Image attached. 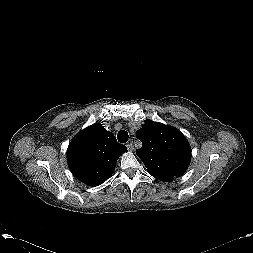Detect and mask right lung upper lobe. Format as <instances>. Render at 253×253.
<instances>
[{
	"label": "right lung upper lobe",
	"instance_id": "obj_1",
	"mask_svg": "<svg viewBox=\"0 0 253 253\" xmlns=\"http://www.w3.org/2000/svg\"><path fill=\"white\" fill-rule=\"evenodd\" d=\"M126 147L102 125L93 124L79 132L67 149L72 174L81 182L98 186L109 178Z\"/></svg>",
	"mask_w": 253,
	"mask_h": 253
}]
</instances>
